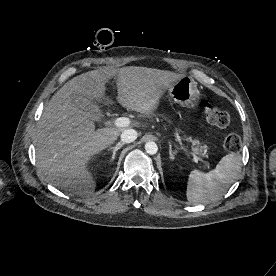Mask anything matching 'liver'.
<instances>
[{
  "label": "liver",
  "instance_id": "liver-1",
  "mask_svg": "<svg viewBox=\"0 0 276 276\" xmlns=\"http://www.w3.org/2000/svg\"><path fill=\"white\" fill-rule=\"evenodd\" d=\"M116 77L117 100L127 110L152 114L163 94L180 78L170 71L128 66L94 70L65 83L44 108L35 135L36 159L46 179L60 189L77 195L92 194L95 181L88 161L113 144L123 128L95 130L94 120L72 101V95L111 104L106 83Z\"/></svg>",
  "mask_w": 276,
  "mask_h": 276
}]
</instances>
